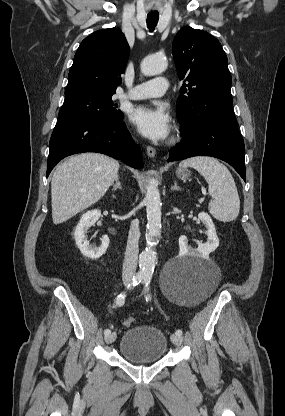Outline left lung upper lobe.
I'll use <instances>...</instances> for the list:
<instances>
[{
	"label": "left lung upper lobe",
	"mask_w": 285,
	"mask_h": 416,
	"mask_svg": "<svg viewBox=\"0 0 285 416\" xmlns=\"http://www.w3.org/2000/svg\"><path fill=\"white\" fill-rule=\"evenodd\" d=\"M172 51L178 76L184 83L177 99V114L186 133L206 122L235 119L231 75L220 42L209 33L183 27Z\"/></svg>",
	"instance_id": "5c2ea615"
}]
</instances>
